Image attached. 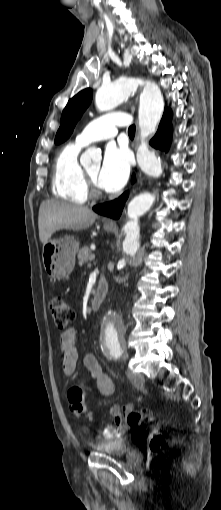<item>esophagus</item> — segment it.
Returning a JSON list of instances; mask_svg holds the SVG:
<instances>
[{
  "instance_id": "esophagus-1",
  "label": "esophagus",
  "mask_w": 221,
  "mask_h": 510,
  "mask_svg": "<svg viewBox=\"0 0 221 510\" xmlns=\"http://www.w3.org/2000/svg\"><path fill=\"white\" fill-rule=\"evenodd\" d=\"M105 223H107V224H109V225H114V226H116V222H115V221H113L112 219H106V220H105Z\"/></svg>"
}]
</instances>
